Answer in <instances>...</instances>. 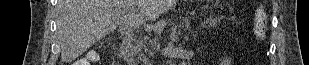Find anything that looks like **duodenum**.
<instances>
[{
  "instance_id": "410a0bca",
  "label": "duodenum",
  "mask_w": 309,
  "mask_h": 65,
  "mask_svg": "<svg viewBox=\"0 0 309 65\" xmlns=\"http://www.w3.org/2000/svg\"><path fill=\"white\" fill-rule=\"evenodd\" d=\"M119 55L120 59L128 64V65H133L131 61V56H132V37L130 34H126L120 44L119 48Z\"/></svg>"
}]
</instances>
